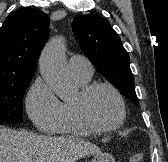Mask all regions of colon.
<instances>
[{"instance_id": "obj_1", "label": "colon", "mask_w": 168, "mask_h": 162, "mask_svg": "<svg viewBox=\"0 0 168 162\" xmlns=\"http://www.w3.org/2000/svg\"><path fill=\"white\" fill-rule=\"evenodd\" d=\"M129 162H144V156L141 153H134L130 156Z\"/></svg>"}]
</instances>
